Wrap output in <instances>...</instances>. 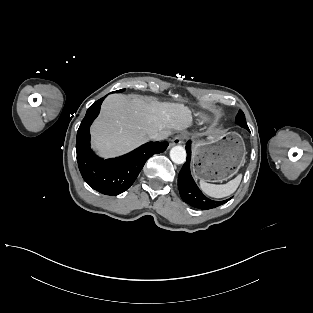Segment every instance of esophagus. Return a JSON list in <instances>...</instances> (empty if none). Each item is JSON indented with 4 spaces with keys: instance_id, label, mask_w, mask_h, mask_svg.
Returning <instances> with one entry per match:
<instances>
[{
    "instance_id": "esophagus-1",
    "label": "esophagus",
    "mask_w": 313,
    "mask_h": 313,
    "mask_svg": "<svg viewBox=\"0 0 313 313\" xmlns=\"http://www.w3.org/2000/svg\"><path fill=\"white\" fill-rule=\"evenodd\" d=\"M182 143V137L181 136H175L172 140L170 145L174 146V145H178Z\"/></svg>"
}]
</instances>
